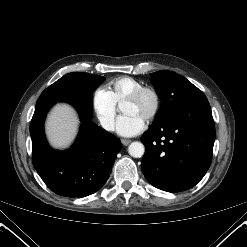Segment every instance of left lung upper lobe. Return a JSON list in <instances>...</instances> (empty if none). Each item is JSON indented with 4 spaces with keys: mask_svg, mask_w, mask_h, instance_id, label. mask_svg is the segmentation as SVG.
I'll use <instances>...</instances> for the list:
<instances>
[{
    "mask_svg": "<svg viewBox=\"0 0 247 247\" xmlns=\"http://www.w3.org/2000/svg\"><path fill=\"white\" fill-rule=\"evenodd\" d=\"M150 76L161 98V107L154 121L172 117L190 104L207 101L201 90L175 72L162 70Z\"/></svg>",
    "mask_w": 247,
    "mask_h": 247,
    "instance_id": "5c2ea615",
    "label": "left lung upper lobe"
}]
</instances>
